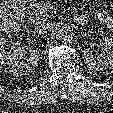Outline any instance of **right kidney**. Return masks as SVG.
I'll use <instances>...</instances> for the list:
<instances>
[{"instance_id":"ca27d5eb","label":"right kidney","mask_w":113,"mask_h":113,"mask_svg":"<svg viewBox=\"0 0 113 113\" xmlns=\"http://www.w3.org/2000/svg\"><path fill=\"white\" fill-rule=\"evenodd\" d=\"M30 58L27 63L22 62L24 56V46L21 41H16L9 52L10 72L14 76L27 75L33 72L39 61V51L29 50Z\"/></svg>"}]
</instances>
